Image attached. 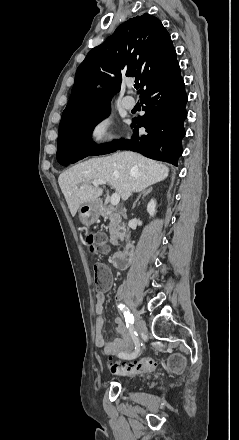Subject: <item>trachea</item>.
<instances>
[{"instance_id":"obj_1","label":"trachea","mask_w":239,"mask_h":440,"mask_svg":"<svg viewBox=\"0 0 239 440\" xmlns=\"http://www.w3.org/2000/svg\"><path fill=\"white\" fill-rule=\"evenodd\" d=\"M134 87L138 89V88H139V85L136 84V85H134Z\"/></svg>"}]
</instances>
